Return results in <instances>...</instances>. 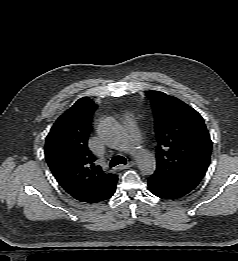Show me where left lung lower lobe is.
I'll return each instance as SVG.
<instances>
[{
  "label": "left lung lower lobe",
  "mask_w": 238,
  "mask_h": 261,
  "mask_svg": "<svg viewBox=\"0 0 238 261\" xmlns=\"http://www.w3.org/2000/svg\"><path fill=\"white\" fill-rule=\"evenodd\" d=\"M148 187L152 194L163 199L174 200L186 195L185 192L154 175L148 178Z\"/></svg>",
  "instance_id": "left-lung-lower-lobe-1"
}]
</instances>
